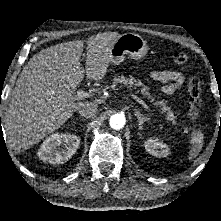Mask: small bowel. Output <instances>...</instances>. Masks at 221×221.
I'll list each match as a JSON object with an SVG mask.
<instances>
[{
  "label": "small bowel",
  "mask_w": 221,
  "mask_h": 221,
  "mask_svg": "<svg viewBox=\"0 0 221 221\" xmlns=\"http://www.w3.org/2000/svg\"><path fill=\"white\" fill-rule=\"evenodd\" d=\"M151 78L162 85L161 90L167 95H172L178 91L184 82L183 75L172 70L153 71Z\"/></svg>",
  "instance_id": "obj_1"
}]
</instances>
